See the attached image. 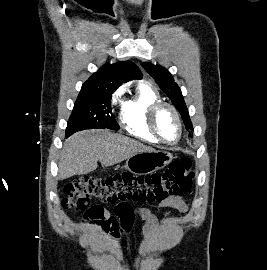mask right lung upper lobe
Listing matches in <instances>:
<instances>
[{"instance_id": "1", "label": "right lung upper lobe", "mask_w": 267, "mask_h": 270, "mask_svg": "<svg viewBox=\"0 0 267 270\" xmlns=\"http://www.w3.org/2000/svg\"><path fill=\"white\" fill-rule=\"evenodd\" d=\"M141 77L140 69L130 61L106 64L82 85V89H117L123 83L133 79H140Z\"/></svg>"}]
</instances>
